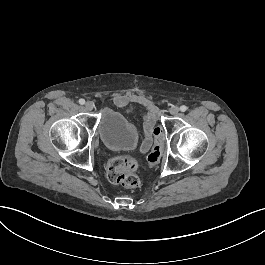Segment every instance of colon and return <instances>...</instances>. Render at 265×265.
<instances>
[{
  "instance_id": "colon-1",
  "label": "colon",
  "mask_w": 265,
  "mask_h": 265,
  "mask_svg": "<svg viewBox=\"0 0 265 265\" xmlns=\"http://www.w3.org/2000/svg\"><path fill=\"white\" fill-rule=\"evenodd\" d=\"M156 136L161 134L160 128H155ZM162 139L157 137L153 148L147 155L149 166H155L162 157ZM141 159L135 155L120 154L114 156L107 165L106 176L112 183L119 184L126 188H136L140 185V178L137 175Z\"/></svg>"
}]
</instances>
